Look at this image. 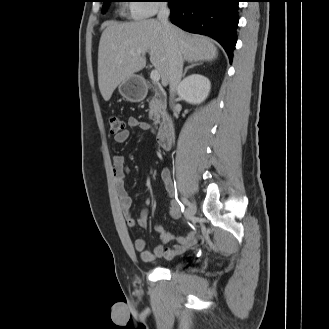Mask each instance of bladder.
Listing matches in <instances>:
<instances>
[{
  "label": "bladder",
  "mask_w": 329,
  "mask_h": 329,
  "mask_svg": "<svg viewBox=\"0 0 329 329\" xmlns=\"http://www.w3.org/2000/svg\"><path fill=\"white\" fill-rule=\"evenodd\" d=\"M179 264H180L179 262H174L173 264H171V267H172V268H175V267H177Z\"/></svg>",
  "instance_id": "obj_1"
}]
</instances>
